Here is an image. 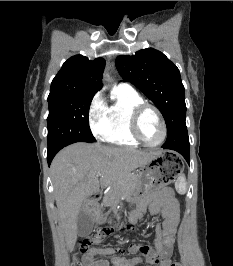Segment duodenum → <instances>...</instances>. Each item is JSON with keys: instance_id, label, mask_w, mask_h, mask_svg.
<instances>
[{"instance_id": "410a0bca", "label": "duodenum", "mask_w": 233, "mask_h": 266, "mask_svg": "<svg viewBox=\"0 0 233 266\" xmlns=\"http://www.w3.org/2000/svg\"><path fill=\"white\" fill-rule=\"evenodd\" d=\"M101 198V193L99 191H95L91 194L90 199L93 203H97Z\"/></svg>"}]
</instances>
